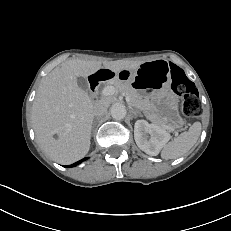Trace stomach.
Returning <instances> with one entry per match:
<instances>
[{
    "label": "stomach",
    "mask_w": 231,
    "mask_h": 231,
    "mask_svg": "<svg viewBox=\"0 0 231 231\" xmlns=\"http://www.w3.org/2000/svg\"><path fill=\"white\" fill-rule=\"evenodd\" d=\"M128 80L136 91L151 99V106L164 126L181 129L184 119L178 111L179 99L171 90L170 66L165 60H152L128 71Z\"/></svg>",
    "instance_id": "stomach-1"
}]
</instances>
